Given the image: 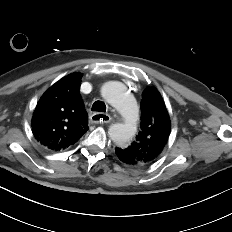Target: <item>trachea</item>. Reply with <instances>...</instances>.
Returning a JSON list of instances; mask_svg holds the SVG:
<instances>
[{
    "instance_id": "obj_1",
    "label": "trachea",
    "mask_w": 232,
    "mask_h": 232,
    "mask_svg": "<svg viewBox=\"0 0 232 232\" xmlns=\"http://www.w3.org/2000/svg\"><path fill=\"white\" fill-rule=\"evenodd\" d=\"M92 111L95 112H106V105L102 101H95L92 105Z\"/></svg>"
}]
</instances>
